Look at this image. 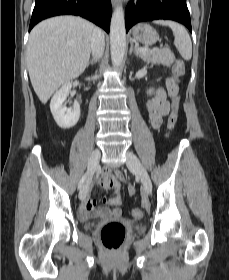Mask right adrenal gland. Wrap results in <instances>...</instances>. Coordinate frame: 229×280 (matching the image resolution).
I'll list each match as a JSON object with an SVG mask.
<instances>
[{
	"label": "right adrenal gland",
	"mask_w": 229,
	"mask_h": 280,
	"mask_svg": "<svg viewBox=\"0 0 229 280\" xmlns=\"http://www.w3.org/2000/svg\"><path fill=\"white\" fill-rule=\"evenodd\" d=\"M95 62H96V59L90 60V61L87 63V67H88L89 65H93Z\"/></svg>",
	"instance_id": "1"
}]
</instances>
